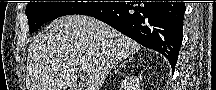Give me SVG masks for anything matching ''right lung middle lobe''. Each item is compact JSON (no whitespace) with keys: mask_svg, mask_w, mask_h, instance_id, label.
Returning a JSON list of instances; mask_svg holds the SVG:
<instances>
[{"mask_svg":"<svg viewBox=\"0 0 216 90\" xmlns=\"http://www.w3.org/2000/svg\"><path fill=\"white\" fill-rule=\"evenodd\" d=\"M105 3L92 2H29L26 15L29 22V31L34 32L48 21L65 15L81 14Z\"/></svg>","mask_w":216,"mask_h":90,"instance_id":"dd1d6c3e","label":"right lung middle lobe"}]
</instances>
